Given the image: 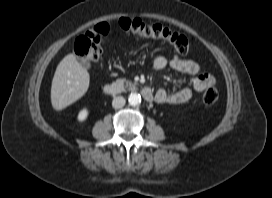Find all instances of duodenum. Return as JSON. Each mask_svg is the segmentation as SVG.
I'll use <instances>...</instances> for the list:
<instances>
[{
    "mask_svg": "<svg viewBox=\"0 0 272 198\" xmlns=\"http://www.w3.org/2000/svg\"><path fill=\"white\" fill-rule=\"evenodd\" d=\"M103 92H104V94H106L108 96H116V95L123 92V88L121 86H118V85H115L112 83H107L103 86ZM141 94H142L143 98L148 102H151L154 100L153 92L147 86L142 87Z\"/></svg>",
    "mask_w": 272,
    "mask_h": 198,
    "instance_id": "obj_1",
    "label": "duodenum"
}]
</instances>
